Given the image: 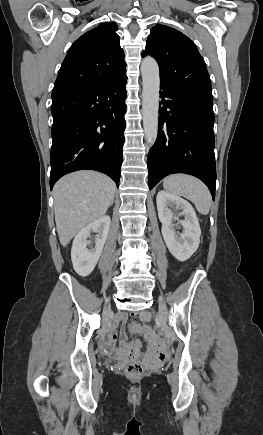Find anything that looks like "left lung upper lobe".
Returning <instances> with one entry per match:
<instances>
[{"mask_svg": "<svg viewBox=\"0 0 263 435\" xmlns=\"http://www.w3.org/2000/svg\"><path fill=\"white\" fill-rule=\"evenodd\" d=\"M146 55L158 62L161 82L213 98L204 59L196 45L180 31L155 25L142 53L143 57Z\"/></svg>", "mask_w": 263, "mask_h": 435, "instance_id": "obj_1", "label": "left lung upper lobe"}]
</instances>
